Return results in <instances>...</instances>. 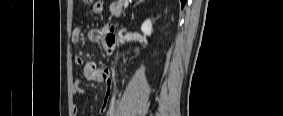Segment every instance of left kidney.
Returning a JSON list of instances; mask_svg holds the SVG:
<instances>
[{"label":"left kidney","mask_w":283,"mask_h":116,"mask_svg":"<svg viewBox=\"0 0 283 116\" xmlns=\"http://www.w3.org/2000/svg\"><path fill=\"white\" fill-rule=\"evenodd\" d=\"M141 31L147 36L152 34V22L150 19L144 21V23L141 25Z\"/></svg>","instance_id":"5707ae66"}]
</instances>
